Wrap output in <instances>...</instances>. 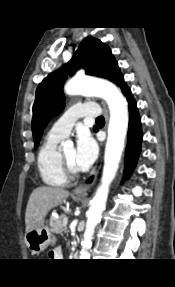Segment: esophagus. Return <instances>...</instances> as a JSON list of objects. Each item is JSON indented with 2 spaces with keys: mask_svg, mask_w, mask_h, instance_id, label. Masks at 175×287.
Here are the masks:
<instances>
[{
  "mask_svg": "<svg viewBox=\"0 0 175 287\" xmlns=\"http://www.w3.org/2000/svg\"><path fill=\"white\" fill-rule=\"evenodd\" d=\"M102 106H103V109H104V114H105L106 121H108L109 114H108L107 107H106V105L104 103H102ZM96 177H97V173L94 174V179H93L92 183L83 184V185H80V186L76 187L74 189V191H73L74 194L80 195V196H86L88 194V191H89L90 187L93 185L94 181L96 180Z\"/></svg>",
  "mask_w": 175,
  "mask_h": 287,
  "instance_id": "34e87169",
  "label": "esophagus"
}]
</instances>
